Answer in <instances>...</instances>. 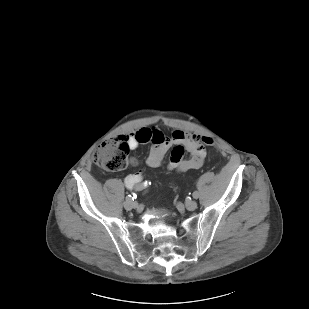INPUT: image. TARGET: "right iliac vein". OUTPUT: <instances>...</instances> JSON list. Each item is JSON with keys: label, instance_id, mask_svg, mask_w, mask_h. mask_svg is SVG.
Wrapping results in <instances>:
<instances>
[{"label": "right iliac vein", "instance_id": "right-iliac-vein-1", "mask_svg": "<svg viewBox=\"0 0 309 309\" xmlns=\"http://www.w3.org/2000/svg\"><path fill=\"white\" fill-rule=\"evenodd\" d=\"M123 205H124L125 209H127V210H131L133 208H136V206H137L136 202H134L132 199L129 200V201L125 200Z\"/></svg>", "mask_w": 309, "mask_h": 309}]
</instances>
